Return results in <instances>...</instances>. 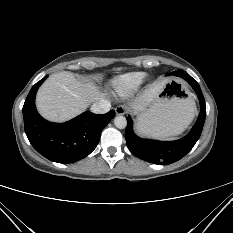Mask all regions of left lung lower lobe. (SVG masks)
I'll use <instances>...</instances> for the list:
<instances>
[{
  "instance_id": "0a47b994",
  "label": "left lung lower lobe",
  "mask_w": 233,
  "mask_h": 233,
  "mask_svg": "<svg viewBox=\"0 0 233 233\" xmlns=\"http://www.w3.org/2000/svg\"><path fill=\"white\" fill-rule=\"evenodd\" d=\"M171 74L185 79L195 90L200 101V114L191 131L185 137L176 141H157L140 138L133 131L131 118L127 117L128 124L125 131V139L128 149L136 157L153 164L167 165L185 156L199 139L206 117L205 100L198 83L183 70H178Z\"/></svg>"
}]
</instances>
